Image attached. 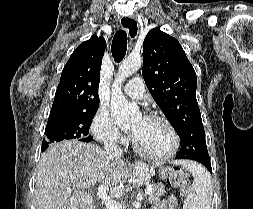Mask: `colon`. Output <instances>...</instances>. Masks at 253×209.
I'll return each instance as SVG.
<instances>
[{
    "label": "colon",
    "mask_w": 253,
    "mask_h": 209,
    "mask_svg": "<svg viewBox=\"0 0 253 209\" xmlns=\"http://www.w3.org/2000/svg\"><path fill=\"white\" fill-rule=\"evenodd\" d=\"M168 174L169 179H167V181L172 186H179L181 188L182 195H186L189 188V180L187 174L179 169H172Z\"/></svg>",
    "instance_id": "obj_1"
}]
</instances>
